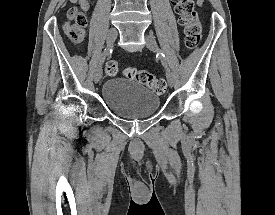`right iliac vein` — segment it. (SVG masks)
I'll return each instance as SVG.
<instances>
[{
    "mask_svg": "<svg viewBox=\"0 0 275 215\" xmlns=\"http://www.w3.org/2000/svg\"><path fill=\"white\" fill-rule=\"evenodd\" d=\"M116 38H117V30L115 28H110L109 31H108V34H107V44H108V46H113ZM102 63H103V60H100L98 66L96 68V71H95V74H94L95 83H98L100 81L101 77H102V73H103Z\"/></svg>",
    "mask_w": 275,
    "mask_h": 215,
    "instance_id": "63e3f726",
    "label": "right iliac vein"
}]
</instances>
